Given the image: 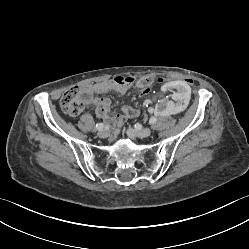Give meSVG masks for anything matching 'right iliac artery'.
Instances as JSON below:
<instances>
[{
  "instance_id": "82829eb1",
  "label": "right iliac artery",
  "mask_w": 249,
  "mask_h": 249,
  "mask_svg": "<svg viewBox=\"0 0 249 249\" xmlns=\"http://www.w3.org/2000/svg\"><path fill=\"white\" fill-rule=\"evenodd\" d=\"M104 128V124L103 123H97L96 124V129L97 130H102Z\"/></svg>"
}]
</instances>
